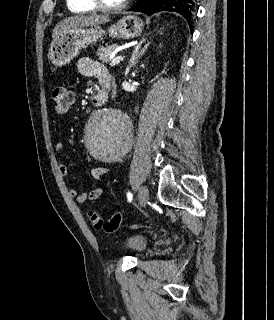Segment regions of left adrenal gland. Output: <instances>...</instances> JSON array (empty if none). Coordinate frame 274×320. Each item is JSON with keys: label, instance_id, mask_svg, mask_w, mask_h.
<instances>
[{"label": "left adrenal gland", "instance_id": "obj_1", "mask_svg": "<svg viewBox=\"0 0 274 320\" xmlns=\"http://www.w3.org/2000/svg\"><path fill=\"white\" fill-rule=\"evenodd\" d=\"M144 42V40H143ZM143 42H140V44H138V46H136L133 54H132V58L129 62V66L128 68H134V66H136L137 62H138V58H140V56H143L145 50H147L149 44H145L144 48H141ZM141 48V50H140ZM140 50V52H139Z\"/></svg>", "mask_w": 274, "mask_h": 320}]
</instances>
